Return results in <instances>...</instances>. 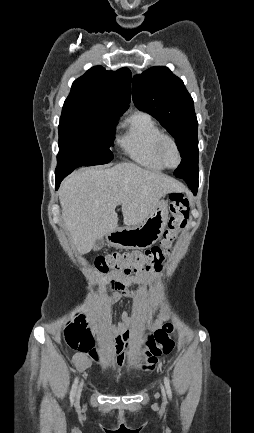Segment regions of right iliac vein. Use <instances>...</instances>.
<instances>
[{
    "instance_id": "1",
    "label": "right iliac vein",
    "mask_w": 254,
    "mask_h": 433,
    "mask_svg": "<svg viewBox=\"0 0 254 433\" xmlns=\"http://www.w3.org/2000/svg\"><path fill=\"white\" fill-rule=\"evenodd\" d=\"M83 385H84V382L82 381L80 383L78 389H77V392H76V401H78L79 398H80V395H81V392H82V389H83Z\"/></svg>"
}]
</instances>
